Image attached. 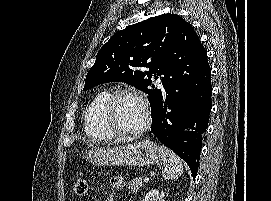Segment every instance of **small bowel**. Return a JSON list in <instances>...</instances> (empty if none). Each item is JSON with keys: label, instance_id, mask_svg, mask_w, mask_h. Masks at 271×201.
<instances>
[{"label": "small bowel", "instance_id": "1", "mask_svg": "<svg viewBox=\"0 0 271 201\" xmlns=\"http://www.w3.org/2000/svg\"><path fill=\"white\" fill-rule=\"evenodd\" d=\"M125 181L122 177L115 176L110 180V186L113 190L119 191L124 187Z\"/></svg>", "mask_w": 271, "mask_h": 201}]
</instances>
